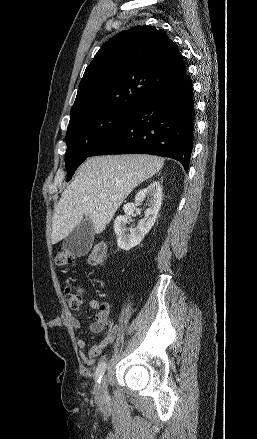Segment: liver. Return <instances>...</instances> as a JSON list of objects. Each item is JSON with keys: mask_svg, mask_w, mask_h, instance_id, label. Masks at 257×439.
<instances>
[{"mask_svg": "<svg viewBox=\"0 0 257 439\" xmlns=\"http://www.w3.org/2000/svg\"><path fill=\"white\" fill-rule=\"evenodd\" d=\"M164 159L152 155H106L88 158L63 191L52 218V244L66 238L82 221L100 234L132 190L152 177ZM106 194V198H99ZM113 197V198H112Z\"/></svg>", "mask_w": 257, "mask_h": 439, "instance_id": "obj_1", "label": "liver"}]
</instances>
